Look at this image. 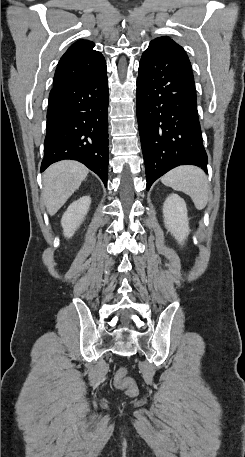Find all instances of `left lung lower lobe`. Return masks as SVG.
<instances>
[{
	"label": "left lung lower lobe",
	"instance_id": "left-lung-lower-lobe-1",
	"mask_svg": "<svg viewBox=\"0 0 245 457\" xmlns=\"http://www.w3.org/2000/svg\"><path fill=\"white\" fill-rule=\"evenodd\" d=\"M138 71L136 111L147 190L180 165L207 172L194 76L184 49L169 38L160 40L143 53Z\"/></svg>",
	"mask_w": 245,
	"mask_h": 457
}]
</instances>
